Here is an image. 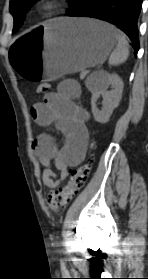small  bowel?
<instances>
[{"mask_svg":"<svg viewBox=\"0 0 148 279\" xmlns=\"http://www.w3.org/2000/svg\"><path fill=\"white\" fill-rule=\"evenodd\" d=\"M80 92L79 83L67 79L59 83L55 92L46 94L43 101L31 107V116L38 125H55L64 136L61 148L47 133L39 134L32 144L36 158L45 167L41 174L42 183L51 189L66 180L68 167L77 165L87 150L86 121L89 115L74 102Z\"/></svg>","mask_w":148,"mask_h":279,"instance_id":"1","label":"small bowel"}]
</instances>
